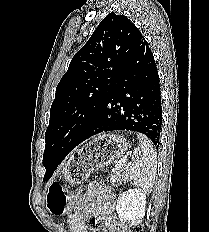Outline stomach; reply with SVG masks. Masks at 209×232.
<instances>
[{
	"mask_svg": "<svg viewBox=\"0 0 209 232\" xmlns=\"http://www.w3.org/2000/svg\"><path fill=\"white\" fill-rule=\"evenodd\" d=\"M129 148L130 144L124 137L99 135L74 152L63 168V176L70 183L79 184L94 170L109 166Z\"/></svg>",
	"mask_w": 209,
	"mask_h": 232,
	"instance_id": "0dacf381",
	"label": "stomach"
}]
</instances>
